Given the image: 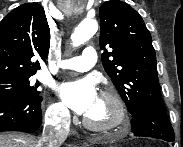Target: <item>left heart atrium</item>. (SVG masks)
<instances>
[{"label": "left heart atrium", "instance_id": "left-heart-atrium-1", "mask_svg": "<svg viewBox=\"0 0 183 147\" xmlns=\"http://www.w3.org/2000/svg\"><path fill=\"white\" fill-rule=\"evenodd\" d=\"M58 92L65 104L81 115H86L98 98L95 83L89 77L61 83Z\"/></svg>", "mask_w": 183, "mask_h": 147}]
</instances>
